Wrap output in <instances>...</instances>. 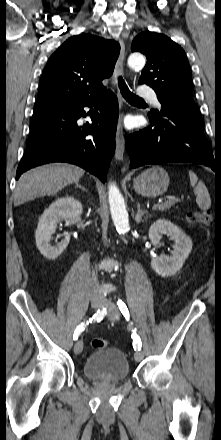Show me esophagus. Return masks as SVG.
<instances>
[{
  "label": "esophagus",
  "instance_id": "obj_1",
  "mask_svg": "<svg viewBox=\"0 0 221 440\" xmlns=\"http://www.w3.org/2000/svg\"><path fill=\"white\" fill-rule=\"evenodd\" d=\"M119 43H120V54L115 66L116 75L123 74V65L125 60V44L122 40H120ZM118 96L121 98L119 90H118ZM124 149H125V138L123 131V114H122L116 132V150H115L116 160L120 161L123 159ZM126 169L127 167H124L122 170L125 171Z\"/></svg>",
  "mask_w": 221,
  "mask_h": 440
}]
</instances>
